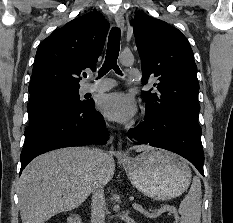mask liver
Listing matches in <instances>:
<instances>
[{"label":"liver","mask_w":233,"mask_h":223,"mask_svg":"<svg viewBox=\"0 0 233 223\" xmlns=\"http://www.w3.org/2000/svg\"><path fill=\"white\" fill-rule=\"evenodd\" d=\"M133 149L152 147L133 145ZM93 163L90 147H63L32 159L18 181L22 223H45L60 211L79 207L91 193ZM115 169V159L107 153L101 173L104 185L111 181Z\"/></svg>","instance_id":"6515ba94"}]
</instances>
